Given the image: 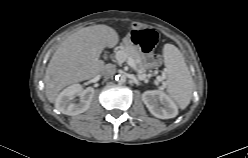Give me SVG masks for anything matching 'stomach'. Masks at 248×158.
I'll use <instances>...</instances> for the list:
<instances>
[{"instance_id": "1", "label": "stomach", "mask_w": 248, "mask_h": 158, "mask_svg": "<svg viewBox=\"0 0 248 158\" xmlns=\"http://www.w3.org/2000/svg\"><path fill=\"white\" fill-rule=\"evenodd\" d=\"M128 41H129V43H132L129 37H128ZM144 58H145V61L147 63L148 68H152L155 66L152 53L144 54Z\"/></svg>"}]
</instances>
